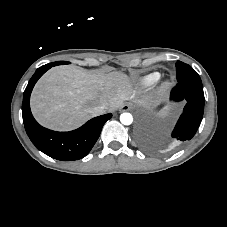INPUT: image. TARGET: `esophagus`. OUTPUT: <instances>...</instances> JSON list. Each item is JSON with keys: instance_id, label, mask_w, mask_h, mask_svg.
<instances>
[{"instance_id": "obj_1", "label": "esophagus", "mask_w": 227, "mask_h": 227, "mask_svg": "<svg viewBox=\"0 0 227 227\" xmlns=\"http://www.w3.org/2000/svg\"><path fill=\"white\" fill-rule=\"evenodd\" d=\"M130 108H131L130 104L126 103V104H123L120 109L121 111H128L130 110Z\"/></svg>"}]
</instances>
